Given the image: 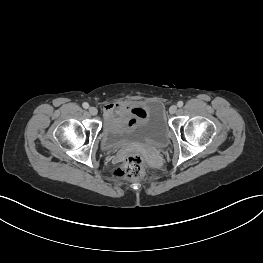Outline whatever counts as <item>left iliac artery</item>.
I'll return each mask as SVG.
<instances>
[{
	"instance_id": "1",
	"label": "left iliac artery",
	"mask_w": 263,
	"mask_h": 263,
	"mask_svg": "<svg viewBox=\"0 0 263 263\" xmlns=\"http://www.w3.org/2000/svg\"><path fill=\"white\" fill-rule=\"evenodd\" d=\"M177 105H178V107H182V106H183V102H182V101H179V102L177 103Z\"/></svg>"
}]
</instances>
